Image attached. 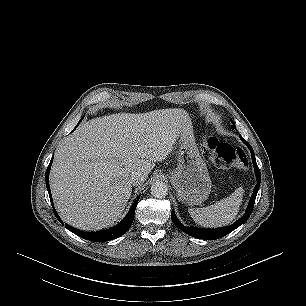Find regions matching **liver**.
<instances>
[{"mask_svg":"<svg viewBox=\"0 0 306 306\" xmlns=\"http://www.w3.org/2000/svg\"><path fill=\"white\" fill-rule=\"evenodd\" d=\"M183 109L119 113L82 123L55 153L50 187L61 218L84 231L101 230L121 216L132 193L130 174L145 177L156 161L191 132Z\"/></svg>","mask_w":306,"mask_h":306,"instance_id":"liver-1","label":"liver"}]
</instances>
